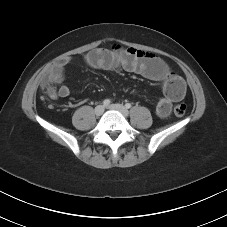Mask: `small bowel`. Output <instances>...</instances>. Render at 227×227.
Masks as SVG:
<instances>
[{
	"mask_svg": "<svg viewBox=\"0 0 227 227\" xmlns=\"http://www.w3.org/2000/svg\"><path fill=\"white\" fill-rule=\"evenodd\" d=\"M69 60L65 59L53 65L44 78L52 83L60 84L52 98L69 96L70 89L62 84L64 69ZM85 62L93 69L116 70L123 69L136 73L147 79L163 83V97L157 103L156 114L160 118H166L174 102L180 101L185 93L183 80L170 71L169 66L157 55L135 48H97L85 55Z\"/></svg>",
	"mask_w": 227,
	"mask_h": 227,
	"instance_id": "c3829d8e",
	"label": "small bowel"
}]
</instances>
